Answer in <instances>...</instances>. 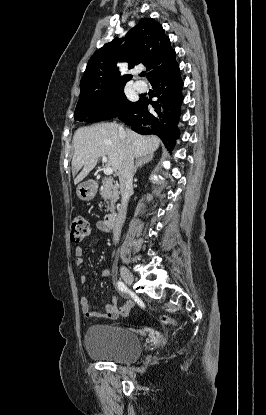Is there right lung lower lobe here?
I'll use <instances>...</instances> for the list:
<instances>
[{
    "label": "right lung lower lobe",
    "mask_w": 266,
    "mask_h": 415,
    "mask_svg": "<svg viewBox=\"0 0 266 415\" xmlns=\"http://www.w3.org/2000/svg\"><path fill=\"white\" fill-rule=\"evenodd\" d=\"M150 83L158 98L157 101L151 102L147 98H141L118 117L140 134L157 135L168 148L172 149L179 137L177 123L183 101L181 95L183 82L179 65L155 76ZM148 105L153 106L152 112L148 111Z\"/></svg>",
    "instance_id": "1"
}]
</instances>
